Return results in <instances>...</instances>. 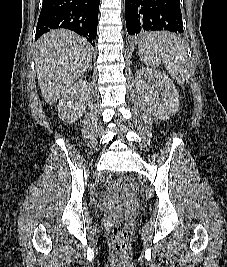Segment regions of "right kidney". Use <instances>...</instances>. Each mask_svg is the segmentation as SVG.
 I'll list each match as a JSON object with an SVG mask.
<instances>
[{
  "mask_svg": "<svg viewBox=\"0 0 227 267\" xmlns=\"http://www.w3.org/2000/svg\"><path fill=\"white\" fill-rule=\"evenodd\" d=\"M90 99V84L79 80L73 84L58 102V117L64 122L77 121L85 112Z\"/></svg>",
  "mask_w": 227,
  "mask_h": 267,
  "instance_id": "obj_1",
  "label": "right kidney"
}]
</instances>
